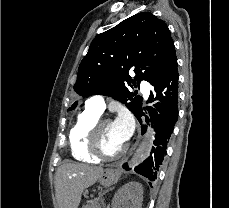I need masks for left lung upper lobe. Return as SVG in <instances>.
<instances>
[{"label": "left lung upper lobe", "instance_id": "1", "mask_svg": "<svg viewBox=\"0 0 229 208\" xmlns=\"http://www.w3.org/2000/svg\"><path fill=\"white\" fill-rule=\"evenodd\" d=\"M176 62L174 42L167 24L151 12H141L93 39L79 65L74 91L82 97L111 96L135 115L142 106V98L135 97L126 86L139 85L141 80L152 86L159 84ZM130 69L136 73L135 80L128 74ZM129 100L131 102L127 103Z\"/></svg>", "mask_w": 229, "mask_h": 208}]
</instances>
